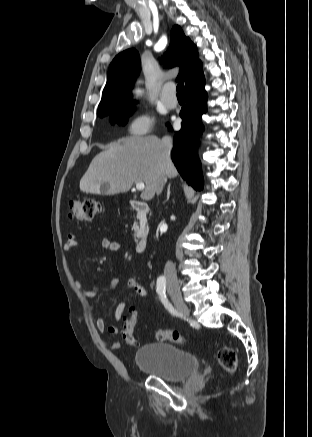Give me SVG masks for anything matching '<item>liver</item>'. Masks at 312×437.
<instances>
[{"mask_svg": "<svg viewBox=\"0 0 312 437\" xmlns=\"http://www.w3.org/2000/svg\"><path fill=\"white\" fill-rule=\"evenodd\" d=\"M177 175L158 137H127L95 156L80 180V190L101 194V186L107 184L106 193L117 194L129 191L133 183L143 182L145 190L141 198L151 200L160 176L175 178Z\"/></svg>", "mask_w": 312, "mask_h": 437, "instance_id": "liver-1", "label": "liver"}]
</instances>
